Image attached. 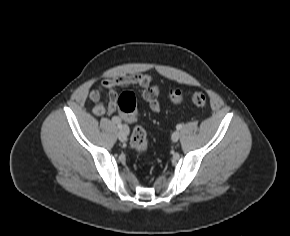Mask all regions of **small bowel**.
I'll return each instance as SVG.
<instances>
[{"label": "small bowel", "mask_w": 290, "mask_h": 236, "mask_svg": "<svg viewBox=\"0 0 290 236\" xmlns=\"http://www.w3.org/2000/svg\"><path fill=\"white\" fill-rule=\"evenodd\" d=\"M122 87H138L142 98L148 103L153 112H159L161 105L158 99L159 87L152 83V77L147 74H128L120 75L115 78H106L102 80L99 87L93 89L89 98L93 102V113L97 116L104 114H113L117 108V88ZM104 90L109 92V104L106 107L102 102V93ZM127 120V116L115 117L114 121L120 122Z\"/></svg>", "instance_id": "small-bowel-1"}]
</instances>
